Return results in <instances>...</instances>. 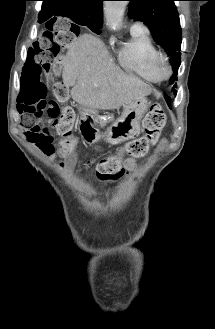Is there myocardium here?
<instances>
[{
    "instance_id": "myocardium-1",
    "label": "myocardium",
    "mask_w": 215,
    "mask_h": 329,
    "mask_svg": "<svg viewBox=\"0 0 215 329\" xmlns=\"http://www.w3.org/2000/svg\"><path fill=\"white\" fill-rule=\"evenodd\" d=\"M154 69L161 80L171 76L172 66L167 54L160 52L156 56L154 60Z\"/></svg>"
}]
</instances>
